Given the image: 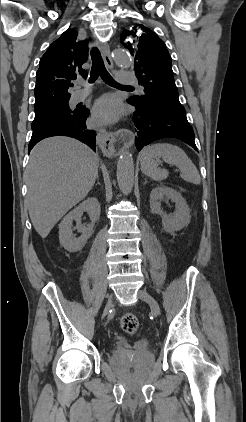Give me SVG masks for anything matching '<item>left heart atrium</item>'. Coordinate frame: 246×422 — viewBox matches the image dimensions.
I'll return each mask as SVG.
<instances>
[{
    "label": "left heart atrium",
    "instance_id": "1",
    "mask_svg": "<svg viewBox=\"0 0 246 422\" xmlns=\"http://www.w3.org/2000/svg\"><path fill=\"white\" fill-rule=\"evenodd\" d=\"M120 115V104L118 100L105 95L99 98L93 107V121L96 124L114 122Z\"/></svg>",
    "mask_w": 246,
    "mask_h": 422
}]
</instances>
